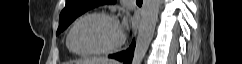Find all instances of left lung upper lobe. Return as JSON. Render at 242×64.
<instances>
[{"label":"left lung upper lobe","mask_w":242,"mask_h":64,"mask_svg":"<svg viewBox=\"0 0 242 64\" xmlns=\"http://www.w3.org/2000/svg\"><path fill=\"white\" fill-rule=\"evenodd\" d=\"M116 0H66L65 8L59 17L57 34L64 31L78 16L103 4H115Z\"/></svg>","instance_id":"1"}]
</instances>
